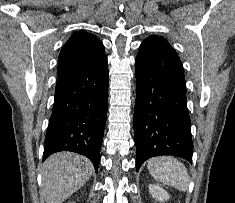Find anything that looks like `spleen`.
<instances>
[{
  "label": "spleen",
  "mask_w": 235,
  "mask_h": 203,
  "mask_svg": "<svg viewBox=\"0 0 235 203\" xmlns=\"http://www.w3.org/2000/svg\"><path fill=\"white\" fill-rule=\"evenodd\" d=\"M150 175L158 182L186 191L189 174L186 167L174 157L161 156L151 158L147 163Z\"/></svg>",
  "instance_id": "obj_1"
}]
</instances>
